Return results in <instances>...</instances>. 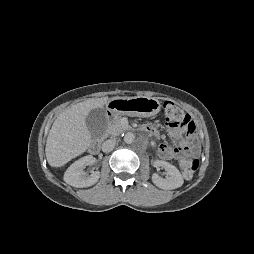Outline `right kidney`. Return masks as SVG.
I'll return each mask as SVG.
<instances>
[{
    "instance_id": "ca27d5eb",
    "label": "right kidney",
    "mask_w": 254,
    "mask_h": 254,
    "mask_svg": "<svg viewBox=\"0 0 254 254\" xmlns=\"http://www.w3.org/2000/svg\"><path fill=\"white\" fill-rule=\"evenodd\" d=\"M94 161L93 156L88 155L75 161L65 172L64 181L73 187H89L95 184L100 177V172L95 171L89 176L83 169L86 166L92 165Z\"/></svg>"
}]
</instances>
